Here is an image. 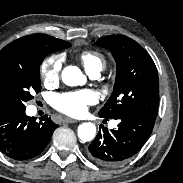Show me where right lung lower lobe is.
Wrapping results in <instances>:
<instances>
[{
    "label": "right lung lower lobe",
    "instance_id": "obj_1",
    "mask_svg": "<svg viewBox=\"0 0 183 183\" xmlns=\"http://www.w3.org/2000/svg\"><path fill=\"white\" fill-rule=\"evenodd\" d=\"M58 127L48 116L39 122L25 114V107L0 111V151L9 158L26 160L40 154Z\"/></svg>",
    "mask_w": 183,
    "mask_h": 183
}]
</instances>
